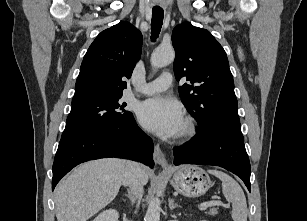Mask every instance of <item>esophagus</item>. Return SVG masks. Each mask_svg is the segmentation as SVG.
I'll list each match as a JSON object with an SVG mask.
<instances>
[{"mask_svg": "<svg viewBox=\"0 0 307 221\" xmlns=\"http://www.w3.org/2000/svg\"><path fill=\"white\" fill-rule=\"evenodd\" d=\"M153 158H154V161H155L156 164H158L162 167H168V163L165 159V156H164L163 152L161 151L158 144H156L155 147H154Z\"/></svg>", "mask_w": 307, "mask_h": 221, "instance_id": "34e87169", "label": "esophagus"}]
</instances>
